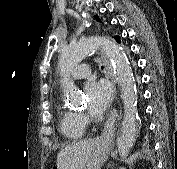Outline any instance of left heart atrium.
I'll return each instance as SVG.
<instances>
[{"label": "left heart atrium", "instance_id": "39dd6f15", "mask_svg": "<svg viewBox=\"0 0 177 169\" xmlns=\"http://www.w3.org/2000/svg\"><path fill=\"white\" fill-rule=\"evenodd\" d=\"M88 112L93 117L102 115L109 107L111 89L104 81H89L85 85Z\"/></svg>", "mask_w": 177, "mask_h": 169}]
</instances>
